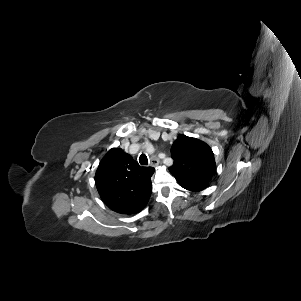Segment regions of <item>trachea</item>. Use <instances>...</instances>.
<instances>
[{
  "label": "trachea",
  "instance_id": "1",
  "mask_svg": "<svg viewBox=\"0 0 301 301\" xmlns=\"http://www.w3.org/2000/svg\"><path fill=\"white\" fill-rule=\"evenodd\" d=\"M139 162L141 165H148V158L145 154H141L139 157Z\"/></svg>",
  "mask_w": 301,
  "mask_h": 301
}]
</instances>
